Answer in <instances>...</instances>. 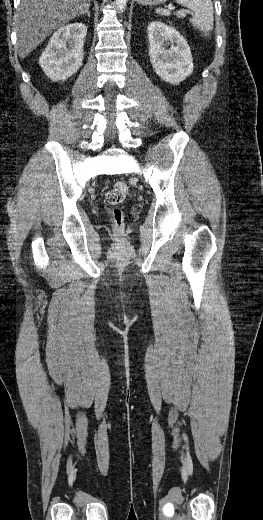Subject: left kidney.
<instances>
[{
	"label": "left kidney",
	"mask_w": 263,
	"mask_h": 520,
	"mask_svg": "<svg viewBox=\"0 0 263 520\" xmlns=\"http://www.w3.org/2000/svg\"><path fill=\"white\" fill-rule=\"evenodd\" d=\"M148 38L150 61L162 80L175 85L192 74L190 47L175 28L159 21L151 22L148 25Z\"/></svg>",
	"instance_id": "5707ae66"
}]
</instances>
